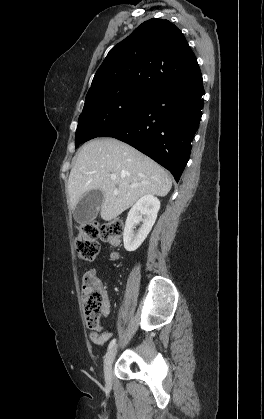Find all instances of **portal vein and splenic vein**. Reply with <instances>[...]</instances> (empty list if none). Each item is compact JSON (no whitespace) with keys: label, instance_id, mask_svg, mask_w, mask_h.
I'll use <instances>...</instances> for the list:
<instances>
[{"label":"portal vein and splenic vein","instance_id":"portal-vein-and-splenic-vein-1","mask_svg":"<svg viewBox=\"0 0 264 419\" xmlns=\"http://www.w3.org/2000/svg\"><path fill=\"white\" fill-rule=\"evenodd\" d=\"M111 179L112 180H115L116 179V176L115 175H111Z\"/></svg>","mask_w":264,"mask_h":419}]
</instances>
